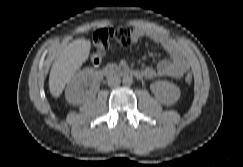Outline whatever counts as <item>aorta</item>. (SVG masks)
Returning <instances> with one entry per match:
<instances>
[{
  "instance_id": "762f6f07",
  "label": "aorta",
  "mask_w": 243,
  "mask_h": 167,
  "mask_svg": "<svg viewBox=\"0 0 243 167\" xmlns=\"http://www.w3.org/2000/svg\"><path fill=\"white\" fill-rule=\"evenodd\" d=\"M122 82L125 85H131L133 83V78L131 75L126 74L123 76Z\"/></svg>"
}]
</instances>
